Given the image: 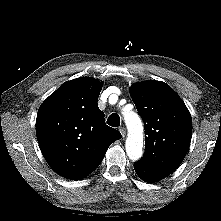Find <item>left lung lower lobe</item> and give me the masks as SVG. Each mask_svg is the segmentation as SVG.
<instances>
[{
  "mask_svg": "<svg viewBox=\"0 0 221 221\" xmlns=\"http://www.w3.org/2000/svg\"><path fill=\"white\" fill-rule=\"evenodd\" d=\"M134 169H135L137 175L143 181H146L149 183L157 182V181L167 177L168 175H170L167 172L151 168V167L144 165L140 162H136L134 164Z\"/></svg>",
  "mask_w": 221,
  "mask_h": 221,
  "instance_id": "1",
  "label": "left lung lower lobe"
}]
</instances>
